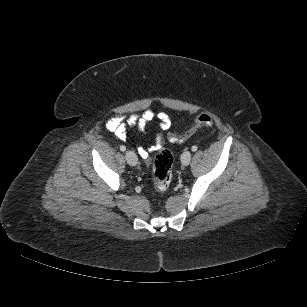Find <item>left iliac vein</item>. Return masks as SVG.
<instances>
[{"mask_svg":"<svg viewBox=\"0 0 307 307\" xmlns=\"http://www.w3.org/2000/svg\"><path fill=\"white\" fill-rule=\"evenodd\" d=\"M191 161V153L189 151H185L181 156V163L184 166H187Z\"/></svg>","mask_w":307,"mask_h":307,"instance_id":"4c4485c4","label":"left iliac vein"}]
</instances>
